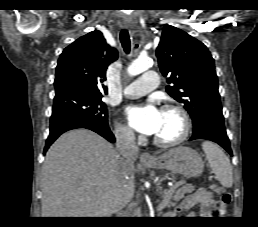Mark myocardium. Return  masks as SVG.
Returning a JSON list of instances; mask_svg holds the SVG:
<instances>
[{
  "label": "myocardium",
  "mask_w": 258,
  "mask_h": 227,
  "mask_svg": "<svg viewBox=\"0 0 258 227\" xmlns=\"http://www.w3.org/2000/svg\"><path fill=\"white\" fill-rule=\"evenodd\" d=\"M162 111H172L179 115L182 121V131L180 135L172 140H163L156 136L153 137V142L160 147H173L179 145L187 139L191 130V120L188 112L181 106L166 104L162 107Z\"/></svg>",
  "instance_id": "1"
}]
</instances>
